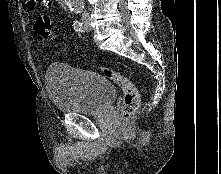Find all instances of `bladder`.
<instances>
[{
  "label": "bladder",
  "mask_w": 221,
  "mask_h": 174,
  "mask_svg": "<svg viewBox=\"0 0 221 174\" xmlns=\"http://www.w3.org/2000/svg\"><path fill=\"white\" fill-rule=\"evenodd\" d=\"M45 86L53 106L61 112L99 114L115 99V89L104 75L65 63L50 65Z\"/></svg>",
  "instance_id": "bladder-1"
}]
</instances>
